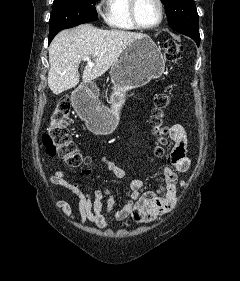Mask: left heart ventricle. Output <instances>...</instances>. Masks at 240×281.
Masks as SVG:
<instances>
[{
	"label": "left heart ventricle",
	"mask_w": 240,
	"mask_h": 281,
	"mask_svg": "<svg viewBox=\"0 0 240 281\" xmlns=\"http://www.w3.org/2000/svg\"><path fill=\"white\" fill-rule=\"evenodd\" d=\"M139 21L146 26L155 24L160 16L156 0H139L137 5Z\"/></svg>",
	"instance_id": "obj_1"
}]
</instances>
